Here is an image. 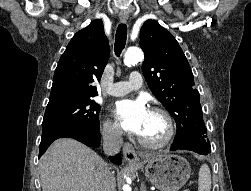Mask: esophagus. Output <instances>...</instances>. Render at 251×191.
Listing matches in <instances>:
<instances>
[{
  "label": "esophagus",
  "mask_w": 251,
  "mask_h": 191,
  "mask_svg": "<svg viewBox=\"0 0 251 191\" xmlns=\"http://www.w3.org/2000/svg\"><path fill=\"white\" fill-rule=\"evenodd\" d=\"M129 17V13L127 11H121L119 13V19L121 22H126V20ZM123 155L125 160L131 165L135 166L137 162L139 161V158L137 157L134 147L131 143H124L123 145Z\"/></svg>",
  "instance_id": "esophagus-1"
}]
</instances>
